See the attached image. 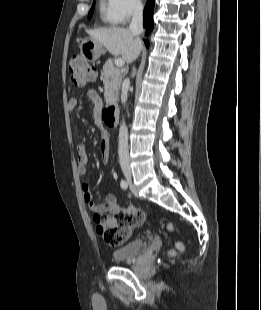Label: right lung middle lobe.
<instances>
[{
	"mask_svg": "<svg viewBox=\"0 0 261 310\" xmlns=\"http://www.w3.org/2000/svg\"><path fill=\"white\" fill-rule=\"evenodd\" d=\"M93 10H94V5L92 6V8H91V10H90V12H89V14H88V17H89V18H91L92 14H93Z\"/></svg>",
	"mask_w": 261,
	"mask_h": 310,
	"instance_id": "dd1d6c3e",
	"label": "right lung middle lobe"
}]
</instances>
